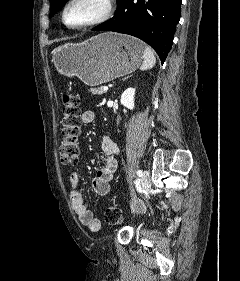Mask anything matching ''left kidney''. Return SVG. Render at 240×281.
I'll use <instances>...</instances> for the list:
<instances>
[{
	"mask_svg": "<svg viewBox=\"0 0 240 281\" xmlns=\"http://www.w3.org/2000/svg\"><path fill=\"white\" fill-rule=\"evenodd\" d=\"M134 97H135V89L134 88H128L126 89L123 94L121 95V104L130 109H134Z\"/></svg>",
	"mask_w": 240,
	"mask_h": 281,
	"instance_id": "obj_1",
	"label": "left kidney"
}]
</instances>
